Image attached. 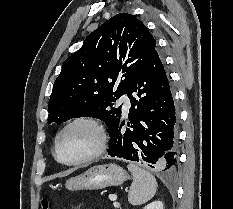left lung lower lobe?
<instances>
[{
    "label": "left lung lower lobe",
    "instance_id": "obj_1",
    "mask_svg": "<svg viewBox=\"0 0 233 209\" xmlns=\"http://www.w3.org/2000/svg\"><path fill=\"white\" fill-rule=\"evenodd\" d=\"M134 93V96L132 95ZM131 100L127 125L121 119L108 127V154L173 170L177 162V115L169 81L156 52L134 78L127 92Z\"/></svg>",
    "mask_w": 233,
    "mask_h": 209
}]
</instances>
